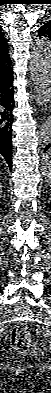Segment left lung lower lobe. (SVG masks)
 I'll return each mask as SVG.
<instances>
[{"instance_id": "left-lung-lower-lobe-1", "label": "left lung lower lobe", "mask_w": 51, "mask_h": 393, "mask_svg": "<svg viewBox=\"0 0 51 393\" xmlns=\"http://www.w3.org/2000/svg\"><path fill=\"white\" fill-rule=\"evenodd\" d=\"M48 148H51V144L47 145L44 151H46Z\"/></svg>"}]
</instances>
